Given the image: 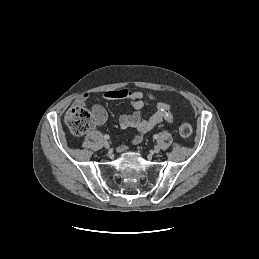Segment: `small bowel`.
I'll use <instances>...</instances> for the list:
<instances>
[{
  "label": "small bowel",
  "mask_w": 259,
  "mask_h": 259,
  "mask_svg": "<svg viewBox=\"0 0 259 259\" xmlns=\"http://www.w3.org/2000/svg\"><path fill=\"white\" fill-rule=\"evenodd\" d=\"M89 98L85 93L78 97L75 105H84ZM104 100L125 99L128 100L134 109L133 113L122 114L119 117V124L122 129H134L136 133L132 138V143L137 145L143 141L144 136L161 122L171 123L173 121L172 110L170 106L161 101L151 93L141 91H131L128 89L109 90L102 94ZM155 102V109L148 117L143 116V109L149 104ZM93 114L97 124L101 125L107 120L105 108L97 104L93 107ZM118 151L123 152L126 149L125 144H119Z\"/></svg>",
  "instance_id": "c3829d8e"
}]
</instances>
